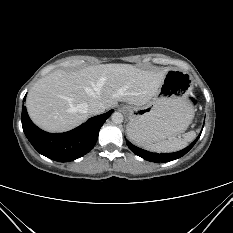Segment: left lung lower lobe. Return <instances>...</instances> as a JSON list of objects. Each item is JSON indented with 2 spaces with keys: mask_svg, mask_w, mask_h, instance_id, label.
<instances>
[{
  "mask_svg": "<svg viewBox=\"0 0 233 233\" xmlns=\"http://www.w3.org/2000/svg\"><path fill=\"white\" fill-rule=\"evenodd\" d=\"M200 135H201V133L189 146H187L186 148H184L181 151L174 152V153H161V154L153 153V152H149V151H146V150H143L141 148L136 147L135 145L130 143L128 140L126 141V143L131 151H133L136 155H138L139 157H142L143 159H145L147 161H150V162H169V161L178 159V158L182 157L183 155H185L194 146V144L199 139Z\"/></svg>",
  "mask_w": 233,
  "mask_h": 233,
  "instance_id": "0a47b994",
  "label": "left lung lower lobe"
}]
</instances>
